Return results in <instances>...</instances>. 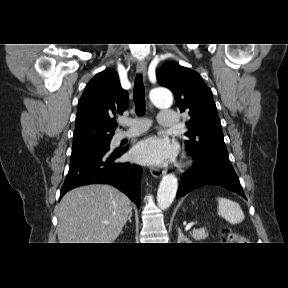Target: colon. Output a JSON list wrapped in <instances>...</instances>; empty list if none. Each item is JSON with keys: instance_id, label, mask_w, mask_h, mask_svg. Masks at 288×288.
Wrapping results in <instances>:
<instances>
[{"instance_id": "obj_1", "label": "colon", "mask_w": 288, "mask_h": 288, "mask_svg": "<svg viewBox=\"0 0 288 288\" xmlns=\"http://www.w3.org/2000/svg\"><path fill=\"white\" fill-rule=\"evenodd\" d=\"M222 236L228 242H233L237 239L236 234L233 233L232 230L227 227L222 229Z\"/></svg>"}]
</instances>
